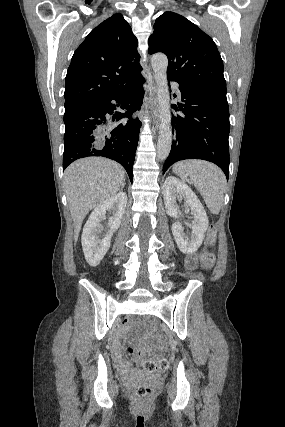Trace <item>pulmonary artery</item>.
<instances>
[{"label": "pulmonary artery", "mask_w": 285, "mask_h": 427, "mask_svg": "<svg viewBox=\"0 0 285 427\" xmlns=\"http://www.w3.org/2000/svg\"><path fill=\"white\" fill-rule=\"evenodd\" d=\"M173 86L176 89V91H179L177 83H173Z\"/></svg>", "instance_id": "pulmonary-artery-1"}]
</instances>
